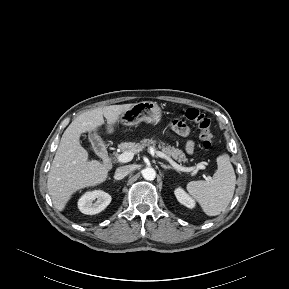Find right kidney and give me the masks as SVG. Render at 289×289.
<instances>
[{"instance_id": "1", "label": "right kidney", "mask_w": 289, "mask_h": 289, "mask_svg": "<svg viewBox=\"0 0 289 289\" xmlns=\"http://www.w3.org/2000/svg\"><path fill=\"white\" fill-rule=\"evenodd\" d=\"M111 196L103 191L95 190L85 193L78 201V208L83 214L95 215L103 211L111 202Z\"/></svg>"}]
</instances>
